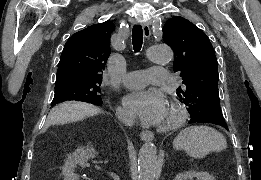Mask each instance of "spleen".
Returning a JSON list of instances; mask_svg holds the SVG:
<instances>
[{"label":"spleen","instance_id":"spleen-1","mask_svg":"<svg viewBox=\"0 0 261 180\" xmlns=\"http://www.w3.org/2000/svg\"><path fill=\"white\" fill-rule=\"evenodd\" d=\"M177 140L191 158H206L211 152L227 150V140L223 134L209 126H190L177 136Z\"/></svg>","mask_w":261,"mask_h":180}]
</instances>
